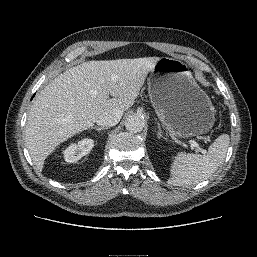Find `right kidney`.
<instances>
[{"label": "right kidney", "mask_w": 257, "mask_h": 257, "mask_svg": "<svg viewBox=\"0 0 257 257\" xmlns=\"http://www.w3.org/2000/svg\"><path fill=\"white\" fill-rule=\"evenodd\" d=\"M94 147L92 139L84 138L78 143L70 144L64 151V159L67 163H74L80 160L83 156L87 155Z\"/></svg>", "instance_id": "right-kidney-1"}]
</instances>
